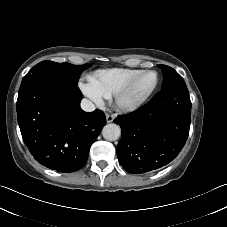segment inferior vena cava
I'll list each match as a JSON object with an SVG mask.
<instances>
[{"label": "inferior vena cava", "instance_id": "obj_1", "mask_svg": "<svg viewBox=\"0 0 227 227\" xmlns=\"http://www.w3.org/2000/svg\"><path fill=\"white\" fill-rule=\"evenodd\" d=\"M81 108L86 112H92L95 110V105L90 100L84 98L81 101Z\"/></svg>", "mask_w": 227, "mask_h": 227}]
</instances>
